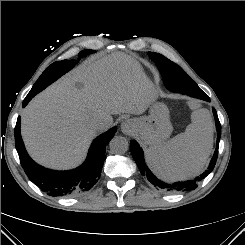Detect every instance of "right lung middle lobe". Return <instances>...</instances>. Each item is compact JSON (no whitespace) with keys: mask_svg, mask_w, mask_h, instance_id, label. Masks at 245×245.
Instances as JSON below:
<instances>
[{"mask_svg":"<svg viewBox=\"0 0 245 245\" xmlns=\"http://www.w3.org/2000/svg\"><path fill=\"white\" fill-rule=\"evenodd\" d=\"M93 50H83L79 53V58L93 53ZM76 64L74 60H63L51 64L39 77V79L33 85L31 91L28 93L29 96H35L37 93L42 91L45 87L50 85L56 79L61 77L63 74L68 72Z\"/></svg>","mask_w":245,"mask_h":245,"instance_id":"dd1d6c3e","label":"right lung middle lobe"}]
</instances>
